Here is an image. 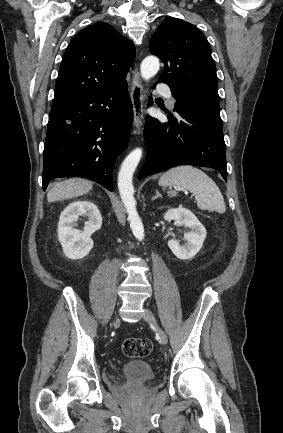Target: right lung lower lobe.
<instances>
[{
    "label": "right lung lower lobe",
    "mask_w": 283,
    "mask_h": 433,
    "mask_svg": "<svg viewBox=\"0 0 283 433\" xmlns=\"http://www.w3.org/2000/svg\"><path fill=\"white\" fill-rule=\"evenodd\" d=\"M133 120L127 82L53 103L44 147L43 190L57 177H83L113 191L111 174Z\"/></svg>",
    "instance_id": "right-lung-lower-lobe-1"
}]
</instances>
